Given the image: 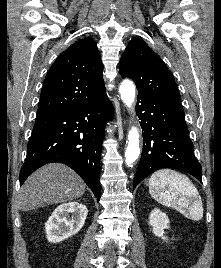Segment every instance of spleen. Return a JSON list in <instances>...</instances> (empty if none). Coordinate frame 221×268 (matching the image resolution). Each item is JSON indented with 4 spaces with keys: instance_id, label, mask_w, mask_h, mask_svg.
Returning a JSON list of instances; mask_svg holds the SVG:
<instances>
[{
    "instance_id": "3e777b00",
    "label": "spleen",
    "mask_w": 221,
    "mask_h": 268,
    "mask_svg": "<svg viewBox=\"0 0 221 268\" xmlns=\"http://www.w3.org/2000/svg\"><path fill=\"white\" fill-rule=\"evenodd\" d=\"M149 193L160 204L176 209L198 221L203 217V204L190 179L172 169H160L149 180Z\"/></svg>"
}]
</instances>
